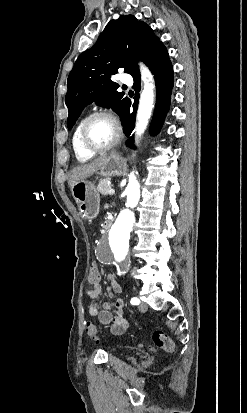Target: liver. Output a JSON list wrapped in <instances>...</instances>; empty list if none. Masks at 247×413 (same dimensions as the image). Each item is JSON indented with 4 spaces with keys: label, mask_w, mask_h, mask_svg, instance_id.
Here are the masks:
<instances>
[{
    "label": "liver",
    "mask_w": 247,
    "mask_h": 413,
    "mask_svg": "<svg viewBox=\"0 0 247 413\" xmlns=\"http://www.w3.org/2000/svg\"><path fill=\"white\" fill-rule=\"evenodd\" d=\"M106 158L107 156H100V158H96V160H92V162L80 164V166H75V168H72L68 184L73 186L75 182H80V180H85V178L91 176L93 172L98 170L99 166H102Z\"/></svg>",
    "instance_id": "obj_1"
}]
</instances>
